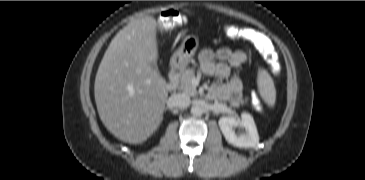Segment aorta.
Segmentation results:
<instances>
[{
	"mask_svg": "<svg viewBox=\"0 0 365 180\" xmlns=\"http://www.w3.org/2000/svg\"><path fill=\"white\" fill-rule=\"evenodd\" d=\"M191 114L194 116H201L203 114V107L199 104H194L191 107Z\"/></svg>",
	"mask_w": 365,
	"mask_h": 180,
	"instance_id": "1",
	"label": "aorta"
}]
</instances>
